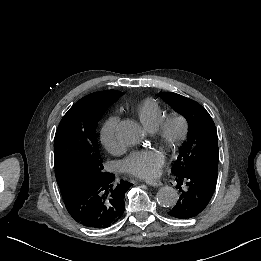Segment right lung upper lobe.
Masks as SVG:
<instances>
[{
	"label": "right lung upper lobe",
	"instance_id": "right-lung-upper-lobe-1",
	"mask_svg": "<svg viewBox=\"0 0 261 261\" xmlns=\"http://www.w3.org/2000/svg\"><path fill=\"white\" fill-rule=\"evenodd\" d=\"M122 95L120 91L117 90H107V91H100L95 92L92 94H89L85 97H83L81 100L88 101L91 103H111L115 102L119 99V97Z\"/></svg>",
	"mask_w": 261,
	"mask_h": 261
}]
</instances>
